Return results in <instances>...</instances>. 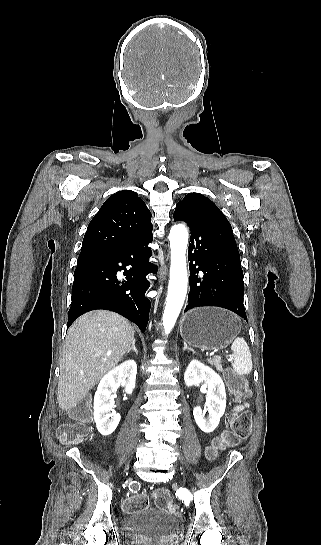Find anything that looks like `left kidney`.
I'll use <instances>...</instances> for the list:
<instances>
[{"instance_id":"1","label":"left kidney","mask_w":321,"mask_h":545,"mask_svg":"<svg viewBox=\"0 0 321 545\" xmlns=\"http://www.w3.org/2000/svg\"><path fill=\"white\" fill-rule=\"evenodd\" d=\"M184 381L187 387L199 385L203 381L208 383L205 409H207L209 417L205 419L206 411H202L201 407H195L193 415L203 433H212L218 427L226 409V391L221 377L210 367L193 359L185 371Z\"/></svg>"}]
</instances>
